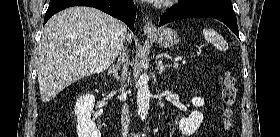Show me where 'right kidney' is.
<instances>
[{
  "mask_svg": "<svg viewBox=\"0 0 280 137\" xmlns=\"http://www.w3.org/2000/svg\"><path fill=\"white\" fill-rule=\"evenodd\" d=\"M94 104L95 97L89 93L79 97L75 103L74 112L77 116L78 137H101L95 122L91 120Z\"/></svg>",
  "mask_w": 280,
  "mask_h": 137,
  "instance_id": "1",
  "label": "right kidney"
}]
</instances>
